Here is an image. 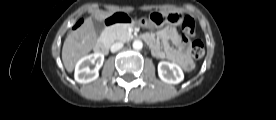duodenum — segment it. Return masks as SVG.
<instances>
[{"label": "duodenum", "instance_id": "1", "mask_svg": "<svg viewBox=\"0 0 276 120\" xmlns=\"http://www.w3.org/2000/svg\"><path fill=\"white\" fill-rule=\"evenodd\" d=\"M116 25L132 27L134 25V18L128 15L117 14L112 18L104 19L102 26L104 28L115 27ZM141 38L146 42L148 39L143 34ZM109 50L108 45L105 42H99L96 45V51L100 54H107Z\"/></svg>", "mask_w": 276, "mask_h": 120}]
</instances>
